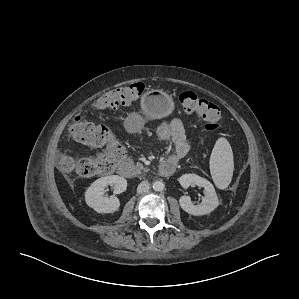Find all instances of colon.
<instances>
[{"label": "colon", "mask_w": 299, "mask_h": 299, "mask_svg": "<svg viewBox=\"0 0 299 299\" xmlns=\"http://www.w3.org/2000/svg\"><path fill=\"white\" fill-rule=\"evenodd\" d=\"M143 91L142 83L119 87L96 99L93 107L96 110L118 109L120 106L136 102ZM179 101L185 112L197 114L204 120L207 131H214L220 126L221 110L215 103L199 97L192 91L182 92ZM69 133L77 142L103 150L89 157H62L59 166L65 172H75L83 177L107 175L113 172L125 156L123 145L104 125L77 116L69 127Z\"/></svg>", "instance_id": "1"}]
</instances>
